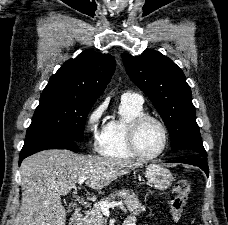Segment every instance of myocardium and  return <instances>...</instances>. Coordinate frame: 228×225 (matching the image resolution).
Instances as JSON below:
<instances>
[{"instance_id": "1", "label": "myocardium", "mask_w": 228, "mask_h": 225, "mask_svg": "<svg viewBox=\"0 0 228 225\" xmlns=\"http://www.w3.org/2000/svg\"><path fill=\"white\" fill-rule=\"evenodd\" d=\"M150 120L156 122L161 127L164 134V142L159 152H157L156 154L147 155L143 153L142 150L140 149L138 138H139V133L142 126L147 121H150ZM168 143H169V130L167 125L161 118L151 114H142L134 118L130 122L129 128H128V144H129L130 150L134 153L136 157H139L145 160H153V159L159 158L166 151L168 147Z\"/></svg>"}]
</instances>
